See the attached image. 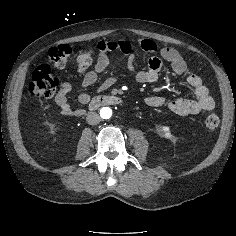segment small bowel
Returning <instances> with one entry per match:
<instances>
[{
    "mask_svg": "<svg viewBox=\"0 0 236 236\" xmlns=\"http://www.w3.org/2000/svg\"><path fill=\"white\" fill-rule=\"evenodd\" d=\"M138 44L140 48L147 53H159V56H153L148 60L147 68L135 70L133 53L134 46ZM98 53L94 67L86 71L81 81L82 88H88L97 82L99 76L108 68L110 59L109 53L118 51L127 57V66L133 73L134 79L139 83H153L158 80L163 62L170 63L172 70L178 75H186L187 83L192 87L195 99L173 98L166 100L162 96L152 95L145 99V103L150 107H160L166 105L173 113L180 116L197 115L204 111H210L215 107V101L209 94L207 87L202 79L193 73H187V64L180 54L173 48H159L158 45L150 39L142 40H124L117 39L113 41H100L97 45ZM116 77L106 78L98 87L99 91L111 88L116 83ZM72 90L69 82L62 83L58 93L55 96V103L64 116L78 117L83 114V109L73 107L68 101V94ZM81 104L88 103L90 96L86 93L79 95Z\"/></svg>",
    "mask_w": 236,
    "mask_h": 236,
    "instance_id": "1",
    "label": "small bowel"
}]
</instances>
